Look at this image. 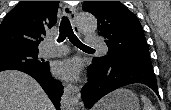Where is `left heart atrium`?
Returning <instances> with one entry per match:
<instances>
[{
    "label": "left heart atrium",
    "mask_w": 171,
    "mask_h": 110,
    "mask_svg": "<svg viewBox=\"0 0 171 110\" xmlns=\"http://www.w3.org/2000/svg\"><path fill=\"white\" fill-rule=\"evenodd\" d=\"M81 71L78 59H69L54 64L53 73L56 77L64 80H76Z\"/></svg>",
    "instance_id": "1"
}]
</instances>
